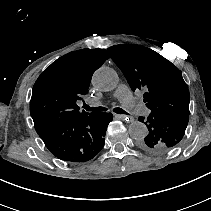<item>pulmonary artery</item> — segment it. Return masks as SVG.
<instances>
[{
	"instance_id": "pulmonary-artery-1",
	"label": "pulmonary artery",
	"mask_w": 211,
	"mask_h": 211,
	"mask_svg": "<svg viewBox=\"0 0 211 211\" xmlns=\"http://www.w3.org/2000/svg\"><path fill=\"white\" fill-rule=\"evenodd\" d=\"M123 90H127V87L125 85L119 86L118 90L115 93V96L118 97L122 101H123V98H122ZM127 103L129 106H132V113L135 116H143L146 113V106L143 103H141V101H138L136 98L130 96V99ZM90 105L91 106H99V105H101V101L92 100L90 102Z\"/></svg>"
}]
</instances>
